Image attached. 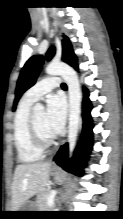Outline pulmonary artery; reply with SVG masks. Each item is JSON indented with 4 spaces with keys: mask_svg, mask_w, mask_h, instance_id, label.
<instances>
[{
    "mask_svg": "<svg viewBox=\"0 0 123 219\" xmlns=\"http://www.w3.org/2000/svg\"><path fill=\"white\" fill-rule=\"evenodd\" d=\"M59 85L58 77H46L28 89L22 99L34 103Z\"/></svg>",
    "mask_w": 123,
    "mask_h": 219,
    "instance_id": "pulmonary-artery-1",
    "label": "pulmonary artery"
}]
</instances>
